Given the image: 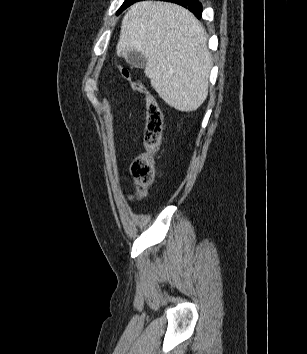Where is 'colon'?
<instances>
[{"label":"colon","instance_id":"1","mask_svg":"<svg viewBox=\"0 0 307 354\" xmlns=\"http://www.w3.org/2000/svg\"><path fill=\"white\" fill-rule=\"evenodd\" d=\"M118 70L123 79L145 94L146 100L145 150L135 156L130 165L131 174L136 183V193L133 198H139L145 194L158 176L157 154L163 142L164 117L155 97L145 90L141 82L132 80L130 70L125 67H119Z\"/></svg>","mask_w":307,"mask_h":354}]
</instances>
